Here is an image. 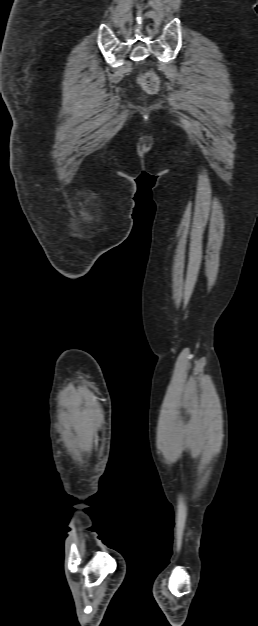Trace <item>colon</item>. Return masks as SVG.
<instances>
[{"label": "colon", "mask_w": 258, "mask_h": 626, "mask_svg": "<svg viewBox=\"0 0 258 626\" xmlns=\"http://www.w3.org/2000/svg\"><path fill=\"white\" fill-rule=\"evenodd\" d=\"M157 84V79L152 75L146 76L143 79V85L150 91L155 90L157 88Z\"/></svg>", "instance_id": "obj_1"}]
</instances>
